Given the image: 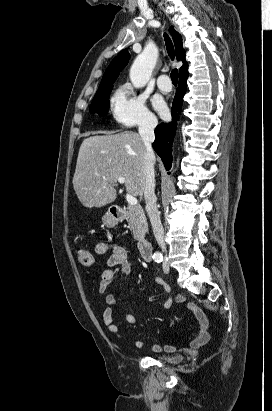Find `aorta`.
<instances>
[{
    "label": "aorta",
    "mask_w": 272,
    "mask_h": 411,
    "mask_svg": "<svg viewBox=\"0 0 272 411\" xmlns=\"http://www.w3.org/2000/svg\"><path fill=\"white\" fill-rule=\"evenodd\" d=\"M158 58V49L153 46L146 47L134 60L130 69V80L134 87L141 88L149 81ZM155 259L161 258V253L156 251Z\"/></svg>",
    "instance_id": "aorta-1"
}]
</instances>
